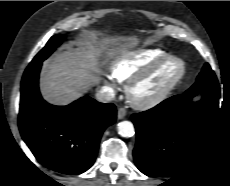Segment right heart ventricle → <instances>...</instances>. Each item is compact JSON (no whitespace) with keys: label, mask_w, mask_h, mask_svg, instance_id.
Segmentation results:
<instances>
[{"label":"right heart ventricle","mask_w":230,"mask_h":186,"mask_svg":"<svg viewBox=\"0 0 230 186\" xmlns=\"http://www.w3.org/2000/svg\"><path fill=\"white\" fill-rule=\"evenodd\" d=\"M166 53L160 49H144L118 59L110 68L112 76L125 82L136 73L148 68Z\"/></svg>","instance_id":"obj_1"}]
</instances>
